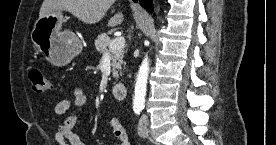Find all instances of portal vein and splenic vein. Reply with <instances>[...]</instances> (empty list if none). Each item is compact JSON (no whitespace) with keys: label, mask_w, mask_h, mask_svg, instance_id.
<instances>
[{"label":"portal vein and splenic vein","mask_w":276,"mask_h":145,"mask_svg":"<svg viewBox=\"0 0 276 145\" xmlns=\"http://www.w3.org/2000/svg\"><path fill=\"white\" fill-rule=\"evenodd\" d=\"M124 45H125V39H124V37H116L110 43L109 49L110 50L119 49L121 47H124Z\"/></svg>","instance_id":"18ae733b"}]
</instances>
